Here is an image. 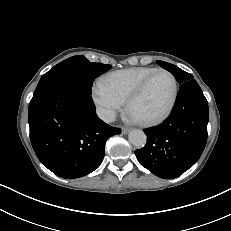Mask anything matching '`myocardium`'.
<instances>
[{
  "instance_id": "obj_1",
  "label": "myocardium",
  "mask_w": 231,
  "mask_h": 231,
  "mask_svg": "<svg viewBox=\"0 0 231 231\" xmlns=\"http://www.w3.org/2000/svg\"><path fill=\"white\" fill-rule=\"evenodd\" d=\"M158 73H165L168 76H170V78L172 79V82H173V95H172L171 101H170L167 109L162 114H160L159 116L152 118V119L138 120L137 121L139 124H141L143 126H156V125L162 123L163 121H165L171 115L172 111L174 110V107H175L177 99H178L179 87H178V81H177L175 75L166 69L158 68V69H155L152 73H150L138 85V87L128 96V98L125 101L126 111L129 113V110H130L132 104L142 96V94L146 90V88H147L148 84L150 83V81L152 80V78Z\"/></svg>"
}]
</instances>
